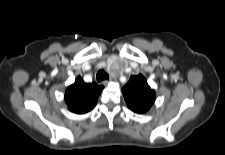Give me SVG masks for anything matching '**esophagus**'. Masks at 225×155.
I'll use <instances>...</instances> for the list:
<instances>
[{
	"label": "esophagus",
	"instance_id": "esophagus-1",
	"mask_svg": "<svg viewBox=\"0 0 225 155\" xmlns=\"http://www.w3.org/2000/svg\"><path fill=\"white\" fill-rule=\"evenodd\" d=\"M113 81H115V78L111 77L109 80H104L103 84L107 85L108 83L113 82Z\"/></svg>",
	"mask_w": 225,
	"mask_h": 155
}]
</instances>
